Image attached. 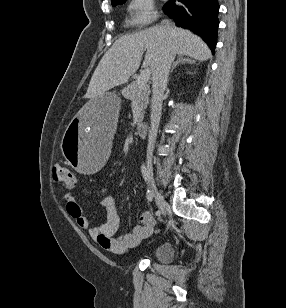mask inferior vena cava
<instances>
[{
	"mask_svg": "<svg viewBox=\"0 0 286 308\" xmlns=\"http://www.w3.org/2000/svg\"><path fill=\"white\" fill-rule=\"evenodd\" d=\"M166 26H169V23H166ZM175 50L169 45L166 49L163 57L158 63L154 73H153V83H152V100H151V125L148 135V158L151 157L152 151L154 149L157 131L161 119V110H162V99L163 94L167 86L168 75L170 67L175 58Z\"/></svg>",
	"mask_w": 286,
	"mask_h": 308,
	"instance_id": "602c4592",
	"label": "inferior vena cava"
}]
</instances>
